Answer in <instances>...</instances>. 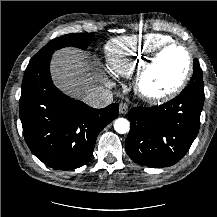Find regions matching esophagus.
<instances>
[{"instance_id":"obj_1","label":"esophagus","mask_w":217,"mask_h":217,"mask_svg":"<svg viewBox=\"0 0 217 217\" xmlns=\"http://www.w3.org/2000/svg\"><path fill=\"white\" fill-rule=\"evenodd\" d=\"M119 112H120V114H127L128 113V104L121 103L119 106Z\"/></svg>"}]
</instances>
